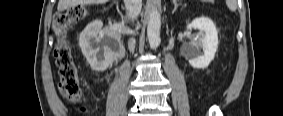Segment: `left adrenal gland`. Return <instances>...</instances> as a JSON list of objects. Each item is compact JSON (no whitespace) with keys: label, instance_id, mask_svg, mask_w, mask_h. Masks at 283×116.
Returning <instances> with one entry per match:
<instances>
[{"label":"left adrenal gland","instance_id":"left-adrenal-gland-1","mask_svg":"<svg viewBox=\"0 0 283 116\" xmlns=\"http://www.w3.org/2000/svg\"><path fill=\"white\" fill-rule=\"evenodd\" d=\"M173 4H174V9H173V11H172V14L175 13V11L177 10V8H178V6H179V4H178L176 1H173Z\"/></svg>","mask_w":283,"mask_h":116}]
</instances>
